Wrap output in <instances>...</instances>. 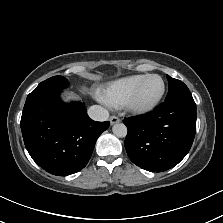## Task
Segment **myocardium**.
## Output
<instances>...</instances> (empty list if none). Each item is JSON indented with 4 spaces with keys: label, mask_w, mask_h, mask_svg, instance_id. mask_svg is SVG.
Returning <instances> with one entry per match:
<instances>
[{
    "label": "myocardium",
    "mask_w": 223,
    "mask_h": 223,
    "mask_svg": "<svg viewBox=\"0 0 223 223\" xmlns=\"http://www.w3.org/2000/svg\"><path fill=\"white\" fill-rule=\"evenodd\" d=\"M149 77H158L160 79L161 85H162L161 86V91L158 94V96L155 98V100L153 102H151L149 105L138 106V105L135 104V98L137 96V93L139 91V88H140L142 82ZM164 93H165V82L160 75H158V74L144 75L142 77V79L139 81V83L137 84V86L134 88V90L126 98V100H125V102L122 106V109L125 111V113H129L131 115L141 116V115L149 114L156 109V107L160 103Z\"/></svg>",
    "instance_id": "obj_1"
}]
</instances>
